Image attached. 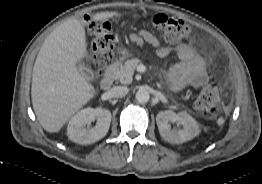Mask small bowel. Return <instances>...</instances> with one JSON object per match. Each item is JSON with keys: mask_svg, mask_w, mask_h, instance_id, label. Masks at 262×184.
Segmentation results:
<instances>
[{"mask_svg": "<svg viewBox=\"0 0 262 184\" xmlns=\"http://www.w3.org/2000/svg\"><path fill=\"white\" fill-rule=\"evenodd\" d=\"M129 40L137 45L153 46L160 58L167 57L172 51L176 52L179 62L169 71L173 89L182 90L189 86L198 88L210 82L205 60L189 45L180 44L174 47L162 45L156 36L144 29L130 33Z\"/></svg>", "mask_w": 262, "mask_h": 184, "instance_id": "c3829d8e", "label": "small bowel"}]
</instances>
